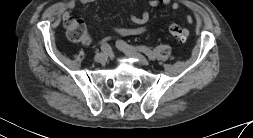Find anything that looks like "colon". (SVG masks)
<instances>
[{
  "label": "colon",
  "mask_w": 253,
  "mask_h": 138,
  "mask_svg": "<svg viewBox=\"0 0 253 138\" xmlns=\"http://www.w3.org/2000/svg\"><path fill=\"white\" fill-rule=\"evenodd\" d=\"M65 27L68 36L73 41L81 43H87L89 41L87 25L83 20L70 17L65 20ZM168 30L177 41L185 42L187 40L188 31L183 26L170 24Z\"/></svg>",
  "instance_id": "1"
}]
</instances>
